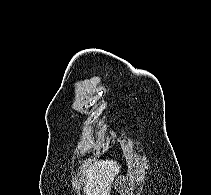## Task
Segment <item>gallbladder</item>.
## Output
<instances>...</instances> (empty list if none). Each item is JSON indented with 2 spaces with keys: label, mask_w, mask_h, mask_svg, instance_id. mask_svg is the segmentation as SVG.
<instances>
[{
  "label": "gallbladder",
  "mask_w": 211,
  "mask_h": 195,
  "mask_svg": "<svg viewBox=\"0 0 211 195\" xmlns=\"http://www.w3.org/2000/svg\"><path fill=\"white\" fill-rule=\"evenodd\" d=\"M117 188L122 191V192H127V187L125 185H121V186H118L117 185ZM126 195V194H125Z\"/></svg>",
  "instance_id": "gallbladder-1"
}]
</instances>
